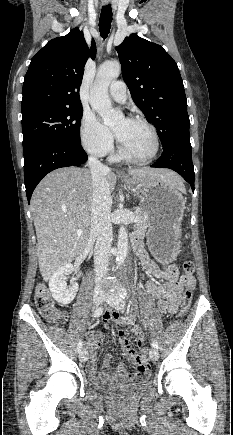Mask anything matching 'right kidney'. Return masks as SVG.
<instances>
[{"mask_svg":"<svg viewBox=\"0 0 233 435\" xmlns=\"http://www.w3.org/2000/svg\"><path fill=\"white\" fill-rule=\"evenodd\" d=\"M73 270L72 264H65L52 275L49 281V289L53 298L62 305L72 302L79 289L77 283L67 288L66 275Z\"/></svg>","mask_w":233,"mask_h":435,"instance_id":"obj_1","label":"right kidney"}]
</instances>
